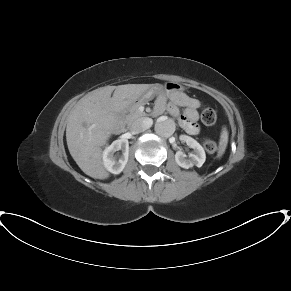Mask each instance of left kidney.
<instances>
[{
  "mask_svg": "<svg viewBox=\"0 0 291 291\" xmlns=\"http://www.w3.org/2000/svg\"><path fill=\"white\" fill-rule=\"evenodd\" d=\"M180 140L186 142V144L193 149V152L189 154V158H186V154L181 150L177 151L175 154L176 163L185 169L193 166L201 167L205 160L206 154L203 147L192 137L187 135H181Z\"/></svg>",
  "mask_w": 291,
  "mask_h": 291,
  "instance_id": "1",
  "label": "left kidney"
}]
</instances>
